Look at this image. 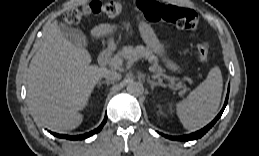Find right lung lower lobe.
<instances>
[{"instance_id": "obj_1", "label": "right lung lower lobe", "mask_w": 259, "mask_h": 156, "mask_svg": "<svg viewBox=\"0 0 259 156\" xmlns=\"http://www.w3.org/2000/svg\"><path fill=\"white\" fill-rule=\"evenodd\" d=\"M107 121V115H105V119L104 121L102 122V124L95 130L91 131V132H88L86 134H82V135H77V136H69V135H63V134H56V133H53L51 132L54 136L56 137H59V138H65V139H70V140H78V139H85V138H88L96 133H98L102 127L104 126V124L106 123Z\"/></svg>"}]
</instances>
